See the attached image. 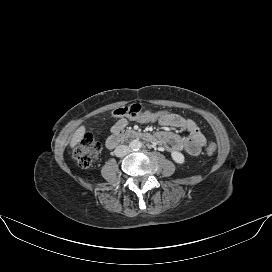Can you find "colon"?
<instances>
[{
    "mask_svg": "<svg viewBox=\"0 0 272 272\" xmlns=\"http://www.w3.org/2000/svg\"><path fill=\"white\" fill-rule=\"evenodd\" d=\"M166 113L168 112L143 110L140 104H131L116 108L113 110L112 115L140 122H153ZM216 149V145L211 143L207 146L206 152L208 155H212L216 152ZM100 152V143L88 132L78 142L74 150V158L80 167L87 168L97 159Z\"/></svg>",
    "mask_w": 272,
    "mask_h": 272,
    "instance_id": "1",
    "label": "colon"
}]
</instances>
